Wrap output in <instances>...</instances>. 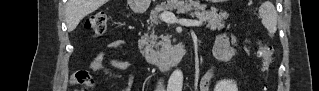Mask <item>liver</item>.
I'll return each mask as SVG.
<instances>
[{
  "label": "liver",
  "mask_w": 319,
  "mask_h": 91,
  "mask_svg": "<svg viewBox=\"0 0 319 91\" xmlns=\"http://www.w3.org/2000/svg\"><path fill=\"white\" fill-rule=\"evenodd\" d=\"M107 0H69L67 3V24L74 30L88 14L100 8Z\"/></svg>",
  "instance_id": "6515ba94"
}]
</instances>
